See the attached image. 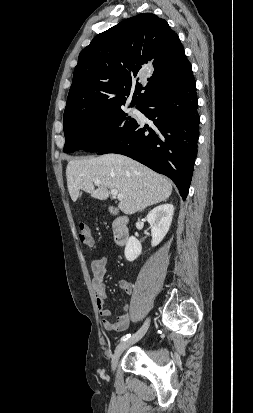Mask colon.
<instances>
[{"instance_id": "5ec220e1", "label": "colon", "mask_w": 253, "mask_h": 413, "mask_svg": "<svg viewBox=\"0 0 253 413\" xmlns=\"http://www.w3.org/2000/svg\"><path fill=\"white\" fill-rule=\"evenodd\" d=\"M78 235L80 241L88 247L94 246V238L89 227L84 223L81 222L78 226Z\"/></svg>"}]
</instances>
